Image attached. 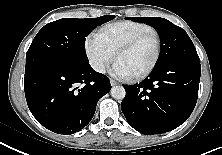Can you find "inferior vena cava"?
Returning a JSON list of instances; mask_svg holds the SVG:
<instances>
[{"instance_id":"obj_1","label":"inferior vena cava","mask_w":222,"mask_h":155,"mask_svg":"<svg viewBox=\"0 0 222 155\" xmlns=\"http://www.w3.org/2000/svg\"><path fill=\"white\" fill-rule=\"evenodd\" d=\"M92 67L94 70H96L97 72H100V73H105V66L102 62H94L92 64Z\"/></svg>"}]
</instances>
